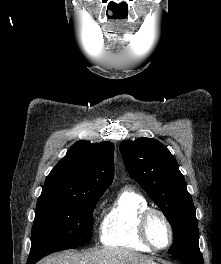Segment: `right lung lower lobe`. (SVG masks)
Listing matches in <instances>:
<instances>
[{
	"mask_svg": "<svg viewBox=\"0 0 221 264\" xmlns=\"http://www.w3.org/2000/svg\"><path fill=\"white\" fill-rule=\"evenodd\" d=\"M40 259H41V257L29 258L28 261H27V264H35Z\"/></svg>",
	"mask_w": 221,
	"mask_h": 264,
	"instance_id": "98d812e1",
	"label": "right lung lower lobe"
}]
</instances>
